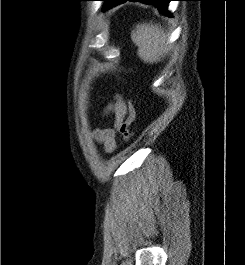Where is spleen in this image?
I'll list each match as a JSON object with an SVG mask.
<instances>
[{
	"label": "spleen",
	"mask_w": 245,
	"mask_h": 265,
	"mask_svg": "<svg viewBox=\"0 0 245 265\" xmlns=\"http://www.w3.org/2000/svg\"><path fill=\"white\" fill-rule=\"evenodd\" d=\"M132 41L138 46V55L145 63H157L169 49L168 35L158 24L143 23L131 33Z\"/></svg>",
	"instance_id": "obj_1"
}]
</instances>
